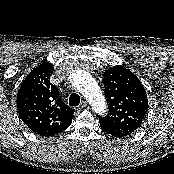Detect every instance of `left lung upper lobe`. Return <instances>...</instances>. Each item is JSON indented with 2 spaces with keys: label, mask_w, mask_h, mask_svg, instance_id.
<instances>
[{
  "label": "left lung upper lobe",
  "mask_w": 174,
  "mask_h": 174,
  "mask_svg": "<svg viewBox=\"0 0 174 174\" xmlns=\"http://www.w3.org/2000/svg\"><path fill=\"white\" fill-rule=\"evenodd\" d=\"M108 114L99 116L102 130L114 137H125L141 125L148 99L140 80L129 69L117 65L103 74Z\"/></svg>",
  "instance_id": "obj_1"
}]
</instances>
